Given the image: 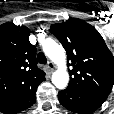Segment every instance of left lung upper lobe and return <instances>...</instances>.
<instances>
[{
    "mask_svg": "<svg viewBox=\"0 0 114 114\" xmlns=\"http://www.w3.org/2000/svg\"><path fill=\"white\" fill-rule=\"evenodd\" d=\"M50 30L67 52L68 66L73 65L68 88L107 97L114 84V57L99 32L80 19L52 24Z\"/></svg>",
    "mask_w": 114,
    "mask_h": 114,
    "instance_id": "1",
    "label": "left lung upper lobe"
}]
</instances>
